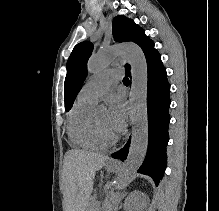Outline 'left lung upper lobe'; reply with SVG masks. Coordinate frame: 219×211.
Masks as SVG:
<instances>
[{
  "label": "left lung upper lobe",
  "instance_id": "obj_1",
  "mask_svg": "<svg viewBox=\"0 0 219 211\" xmlns=\"http://www.w3.org/2000/svg\"><path fill=\"white\" fill-rule=\"evenodd\" d=\"M113 36L118 42L132 41L138 44L147 58L153 51L154 43L144 31L132 20L124 16H117L113 20ZM93 44L81 42L77 44L67 62V75L64 84L65 108L68 111L80 91L87 75V61L92 53ZM126 73L130 72V66L125 65Z\"/></svg>",
  "mask_w": 219,
  "mask_h": 211
}]
</instances>
